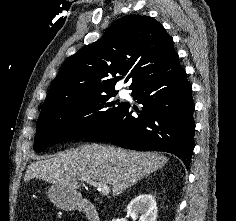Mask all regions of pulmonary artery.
<instances>
[{
    "label": "pulmonary artery",
    "mask_w": 236,
    "mask_h": 221,
    "mask_svg": "<svg viewBox=\"0 0 236 221\" xmlns=\"http://www.w3.org/2000/svg\"><path fill=\"white\" fill-rule=\"evenodd\" d=\"M120 95H121V96H126V95H127V91H126V90H124V89H123V90H121V92H120Z\"/></svg>",
    "instance_id": "e3ab8cb5"
}]
</instances>
